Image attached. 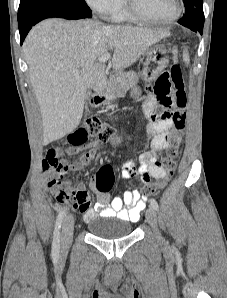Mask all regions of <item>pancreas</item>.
Wrapping results in <instances>:
<instances>
[{
  "mask_svg": "<svg viewBox=\"0 0 227 298\" xmlns=\"http://www.w3.org/2000/svg\"><path fill=\"white\" fill-rule=\"evenodd\" d=\"M137 82L138 75L133 71H120L108 82L106 95L108 97H118L135 86Z\"/></svg>",
  "mask_w": 227,
  "mask_h": 298,
  "instance_id": "obj_1",
  "label": "pancreas"
}]
</instances>
